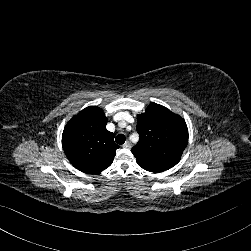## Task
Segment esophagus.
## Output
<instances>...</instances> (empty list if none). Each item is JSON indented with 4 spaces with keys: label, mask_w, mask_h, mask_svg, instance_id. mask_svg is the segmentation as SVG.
<instances>
[{
    "label": "esophagus",
    "mask_w": 251,
    "mask_h": 251,
    "mask_svg": "<svg viewBox=\"0 0 251 251\" xmlns=\"http://www.w3.org/2000/svg\"><path fill=\"white\" fill-rule=\"evenodd\" d=\"M123 147L124 148H131V144L129 141H126L124 144H123Z\"/></svg>",
    "instance_id": "1"
}]
</instances>
